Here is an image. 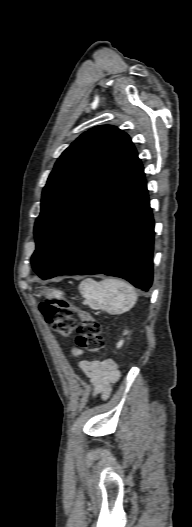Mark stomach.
Here are the masks:
<instances>
[{"label":"stomach","mask_w":192,"mask_h":527,"mask_svg":"<svg viewBox=\"0 0 192 527\" xmlns=\"http://www.w3.org/2000/svg\"><path fill=\"white\" fill-rule=\"evenodd\" d=\"M55 293H58L60 295L63 294L61 291H58L56 289L44 288V289L41 290V294L45 295L46 298L53 297L55 295Z\"/></svg>","instance_id":"stomach-1"}]
</instances>
